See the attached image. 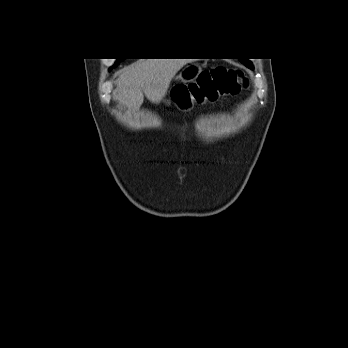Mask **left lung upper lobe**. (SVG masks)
I'll use <instances>...</instances> for the list:
<instances>
[{
    "label": "left lung upper lobe",
    "instance_id": "5c2ea615",
    "mask_svg": "<svg viewBox=\"0 0 348 348\" xmlns=\"http://www.w3.org/2000/svg\"><path fill=\"white\" fill-rule=\"evenodd\" d=\"M240 61H241L245 66H247L248 68L253 69V65H252V63H251L249 60H247V59H240Z\"/></svg>",
    "mask_w": 348,
    "mask_h": 348
}]
</instances>
